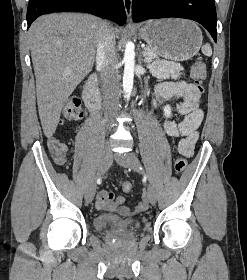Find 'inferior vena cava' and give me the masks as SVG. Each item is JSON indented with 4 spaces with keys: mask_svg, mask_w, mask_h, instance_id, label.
<instances>
[{
    "mask_svg": "<svg viewBox=\"0 0 247 280\" xmlns=\"http://www.w3.org/2000/svg\"><path fill=\"white\" fill-rule=\"evenodd\" d=\"M96 63L101 70L104 104L109 111H115L119 104V73L115 58L114 29L106 22L99 28Z\"/></svg>",
    "mask_w": 247,
    "mask_h": 280,
    "instance_id": "1",
    "label": "inferior vena cava"
}]
</instances>
